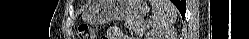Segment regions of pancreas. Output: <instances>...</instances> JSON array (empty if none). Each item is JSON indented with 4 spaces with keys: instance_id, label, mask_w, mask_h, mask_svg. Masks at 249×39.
Returning <instances> with one entry per match:
<instances>
[{
    "instance_id": "pancreas-1",
    "label": "pancreas",
    "mask_w": 249,
    "mask_h": 39,
    "mask_svg": "<svg viewBox=\"0 0 249 39\" xmlns=\"http://www.w3.org/2000/svg\"><path fill=\"white\" fill-rule=\"evenodd\" d=\"M125 26L138 35L143 34L145 31V27L140 21H126Z\"/></svg>"
}]
</instances>
